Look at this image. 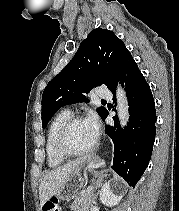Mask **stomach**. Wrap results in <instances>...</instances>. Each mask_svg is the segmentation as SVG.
<instances>
[{
    "label": "stomach",
    "instance_id": "stomach-1",
    "mask_svg": "<svg viewBox=\"0 0 179 211\" xmlns=\"http://www.w3.org/2000/svg\"><path fill=\"white\" fill-rule=\"evenodd\" d=\"M84 184L85 177L82 175L80 167L71 172L57 194L53 197L57 200H69L79 193V191L84 187Z\"/></svg>",
    "mask_w": 179,
    "mask_h": 211
}]
</instances>
